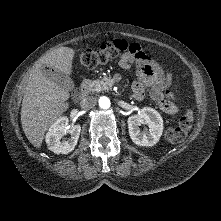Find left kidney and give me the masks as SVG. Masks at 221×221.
Segmentation results:
<instances>
[{
	"instance_id": "left-kidney-1",
	"label": "left kidney",
	"mask_w": 221,
	"mask_h": 221,
	"mask_svg": "<svg viewBox=\"0 0 221 221\" xmlns=\"http://www.w3.org/2000/svg\"><path fill=\"white\" fill-rule=\"evenodd\" d=\"M129 135L132 141L139 146L155 145L163 132V119L153 108L144 107L136 115L127 120ZM148 125L149 129L141 130L139 126Z\"/></svg>"
}]
</instances>
